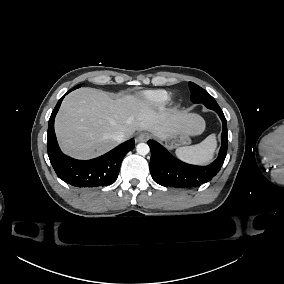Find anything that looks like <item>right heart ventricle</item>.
Here are the masks:
<instances>
[{"label":"right heart ventricle","instance_id":"obj_1","mask_svg":"<svg viewBox=\"0 0 284 284\" xmlns=\"http://www.w3.org/2000/svg\"><path fill=\"white\" fill-rule=\"evenodd\" d=\"M171 100V93L163 89L147 90L132 100L133 104L148 110L165 107Z\"/></svg>","mask_w":284,"mask_h":284}]
</instances>
